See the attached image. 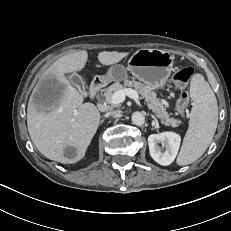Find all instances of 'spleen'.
I'll list each match as a JSON object with an SVG mask.
<instances>
[{"instance_id":"3e777b00","label":"spleen","mask_w":231,"mask_h":231,"mask_svg":"<svg viewBox=\"0 0 231 231\" xmlns=\"http://www.w3.org/2000/svg\"><path fill=\"white\" fill-rule=\"evenodd\" d=\"M193 107L189 128L177 157L185 166L199 159L211 143L218 124V105L214 92L201 74L193 75L190 83Z\"/></svg>"}]
</instances>
